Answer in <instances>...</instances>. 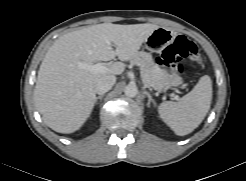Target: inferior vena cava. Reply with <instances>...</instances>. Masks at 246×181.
Here are the masks:
<instances>
[{"instance_id": "1", "label": "inferior vena cava", "mask_w": 246, "mask_h": 181, "mask_svg": "<svg viewBox=\"0 0 246 181\" xmlns=\"http://www.w3.org/2000/svg\"><path fill=\"white\" fill-rule=\"evenodd\" d=\"M116 82V77L113 75L105 76L96 83L95 92L99 95H103L108 92Z\"/></svg>"}]
</instances>
